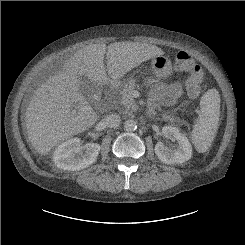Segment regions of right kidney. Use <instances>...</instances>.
<instances>
[{
  "mask_svg": "<svg viewBox=\"0 0 245 245\" xmlns=\"http://www.w3.org/2000/svg\"><path fill=\"white\" fill-rule=\"evenodd\" d=\"M85 153H81V141L72 138L61 143L53 154L54 164L63 170L78 171L92 165L100 152V145L89 143L85 147Z\"/></svg>",
  "mask_w": 245,
  "mask_h": 245,
  "instance_id": "ca27d5eb",
  "label": "right kidney"
}]
</instances>
